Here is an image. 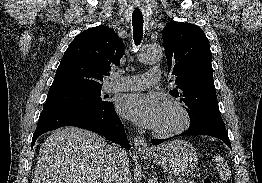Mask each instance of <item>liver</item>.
<instances>
[{
  "label": "liver",
  "instance_id": "6515ba94",
  "mask_svg": "<svg viewBox=\"0 0 262 183\" xmlns=\"http://www.w3.org/2000/svg\"><path fill=\"white\" fill-rule=\"evenodd\" d=\"M108 146L94 132L58 129L40 148L32 183H111Z\"/></svg>",
  "mask_w": 262,
  "mask_h": 183
}]
</instances>
